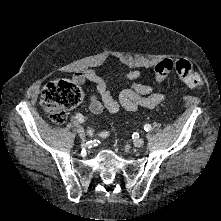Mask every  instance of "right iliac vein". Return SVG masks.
Segmentation results:
<instances>
[{"instance_id": "obj_1", "label": "right iliac vein", "mask_w": 221, "mask_h": 221, "mask_svg": "<svg viewBox=\"0 0 221 221\" xmlns=\"http://www.w3.org/2000/svg\"><path fill=\"white\" fill-rule=\"evenodd\" d=\"M78 135H79L80 138H82V139H85V137H86L85 132H84V129H83V127H81V126H78Z\"/></svg>"}]
</instances>
